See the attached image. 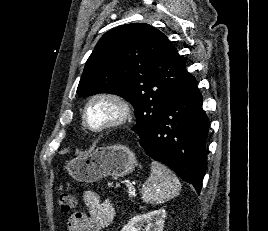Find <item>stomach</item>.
<instances>
[{
    "instance_id": "1",
    "label": "stomach",
    "mask_w": 268,
    "mask_h": 231,
    "mask_svg": "<svg viewBox=\"0 0 268 231\" xmlns=\"http://www.w3.org/2000/svg\"><path fill=\"white\" fill-rule=\"evenodd\" d=\"M137 166L135 154L126 146L99 147L66 162L65 169L79 182L91 183L106 176L123 177Z\"/></svg>"
}]
</instances>
